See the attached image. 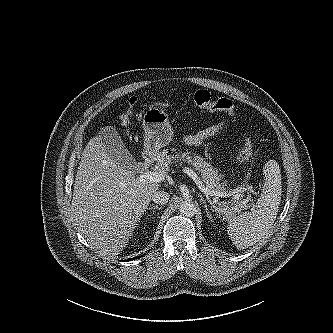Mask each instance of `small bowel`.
I'll use <instances>...</instances> for the list:
<instances>
[{
    "label": "small bowel",
    "mask_w": 333,
    "mask_h": 333,
    "mask_svg": "<svg viewBox=\"0 0 333 333\" xmlns=\"http://www.w3.org/2000/svg\"><path fill=\"white\" fill-rule=\"evenodd\" d=\"M228 127L227 121H221L215 125L202 129L194 134H184L182 141L188 146H200L207 140L223 133Z\"/></svg>",
    "instance_id": "1"
}]
</instances>
